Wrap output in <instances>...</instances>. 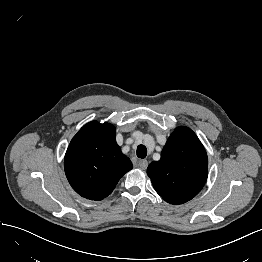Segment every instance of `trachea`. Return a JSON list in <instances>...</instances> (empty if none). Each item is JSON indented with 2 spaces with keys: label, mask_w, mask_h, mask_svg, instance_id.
Segmentation results:
<instances>
[{
  "label": "trachea",
  "mask_w": 262,
  "mask_h": 262,
  "mask_svg": "<svg viewBox=\"0 0 262 262\" xmlns=\"http://www.w3.org/2000/svg\"><path fill=\"white\" fill-rule=\"evenodd\" d=\"M147 155V148L144 145H139L137 147V157L145 158Z\"/></svg>",
  "instance_id": "3493384b"
}]
</instances>
